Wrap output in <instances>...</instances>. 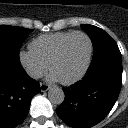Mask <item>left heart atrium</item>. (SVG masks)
I'll list each match as a JSON object with an SVG mask.
<instances>
[{"label":"left heart atrium","instance_id":"39dd6f15","mask_svg":"<svg viewBox=\"0 0 128 128\" xmlns=\"http://www.w3.org/2000/svg\"><path fill=\"white\" fill-rule=\"evenodd\" d=\"M49 80H51V81H57L59 79L53 73H51L50 76H49Z\"/></svg>","mask_w":128,"mask_h":128}]
</instances>
